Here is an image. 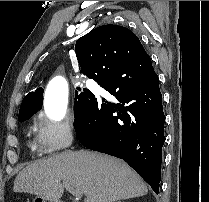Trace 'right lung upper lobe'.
Returning a JSON list of instances; mask_svg holds the SVG:
<instances>
[{
    "instance_id": "right-lung-upper-lobe-1",
    "label": "right lung upper lobe",
    "mask_w": 209,
    "mask_h": 202,
    "mask_svg": "<svg viewBox=\"0 0 209 202\" xmlns=\"http://www.w3.org/2000/svg\"><path fill=\"white\" fill-rule=\"evenodd\" d=\"M80 72L101 83L112 78L118 84L128 75L143 69L141 59L148 56L138 37L129 29L108 24L79 38L75 46ZM43 89L30 92L22 101L21 109L42 107Z\"/></svg>"
}]
</instances>
